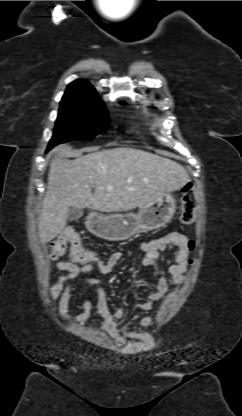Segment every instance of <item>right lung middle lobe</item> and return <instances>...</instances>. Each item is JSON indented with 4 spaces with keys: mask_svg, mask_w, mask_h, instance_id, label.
Masks as SVG:
<instances>
[{
    "mask_svg": "<svg viewBox=\"0 0 242 416\" xmlns=\"http://www.w3.org/2000/svg\"><path fill=\"white\" fill-rule=\"evenodd\" d=\"M109 127V117L102 102L60 103L55 131L48 150L71 140H90Z\"/></svg>",
    "mask_w": 242,
    "mask_h": 416,
    "instance_id": "obj_1",
    "label": "right lung middle lobe"
}]
</instances>
